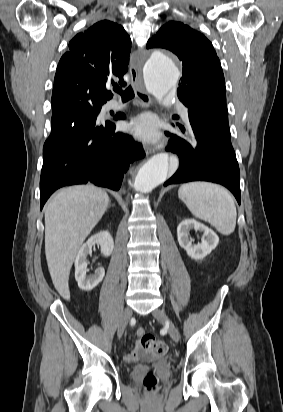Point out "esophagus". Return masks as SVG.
<instances>
[{"mask_svg":"<svg viewBox=\"0 0 283 412\" xmlns=\"http://www.w3.org/2000/svg\"><path fill=\"white\" fill-rule=\"evenodd\" d=\"M130 71V76H131V83L135 88V93L137 98L142 102L144 106H150L151 105V97L150 95L146 92L144 87H140L139 84L141 83V65L139 61H132L130 63L129 67ZM155 149L150 148L148 149L147 153L151 154L154 153Z\"/></svg>","mask_w":283,"mask_h":412,"instance_id":"esophagus-1","label":"esophagus"}]
</instances>
